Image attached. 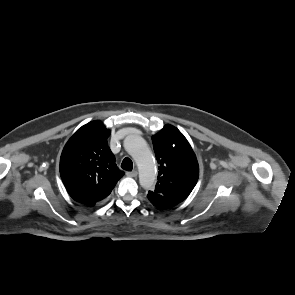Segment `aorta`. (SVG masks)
<instances>
[{"label": "aorta", "mask_w": 295, "mask_h": 295, "mask_svg": "<svg viewBox=\"0 0 295 295\" xmlns=\"http://www.w3.org/2000/svg\"><path fill=\"white\" fill-rule=\"evenodd\" d=\"M124 148L132 156L139 169V182L145 189H151L156 180L154 159L146 141L138 135H129Z\"/></svg>", "instance_id": "obj_1"}]
</instances>
